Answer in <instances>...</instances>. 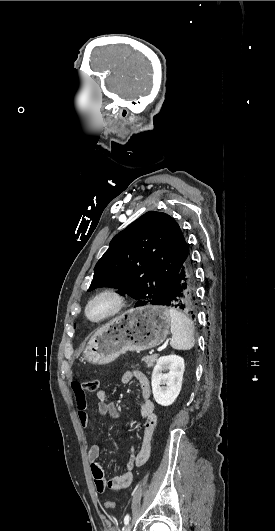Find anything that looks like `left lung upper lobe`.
<instances>
[{"label":"left lung upper lobe","instance_id":"5c2ea615","mask_svg":"<svg viewBox=\"0 0 275 531\" xmlns=\"http://www.w3.org/2000/svg\"><path fill=\"white\" fill-rule=\"evenodd\" d=\"M187 256L178 223L168 214L149 211L112 239L94 268L88 291L111 286L136 299L135 306L160 305Z\"/></svg>","mask_w":275,"mask_h":531}]
</instances>
